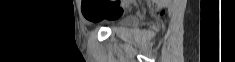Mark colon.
Listing matches in <instances>:
<instances>
[{
    "mask_svg": "<svg viewBox=\"0 0 235 62\" xmlns=\"http://www.w3.org/2000/svg\"><path fill=\"white\" fill-rule=\"evenodd\" d=\"M125 9V2L113 1L109 6L101 8L95 0H83L82 10L85 18L89 21H97L102 17L115 18L121 15Z\"/></svg>",
    "mask_w": 235,
    "mask_h": 62,
    "instance_id": "1",
    "label": "colon"
}]
</instances>
